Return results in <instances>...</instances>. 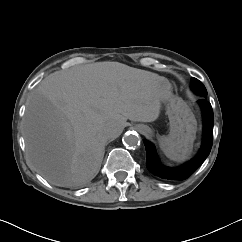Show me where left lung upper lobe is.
I'll use <instances>...</instances> for the list:
<instances>
[{"instance_id": "left-lung-upper-lobe-1", "label": "left lung upper lobe", "mask_w": 242, "mask_h": 242, "mask_svg": "<svg viewBox=\"0 0 242 242\" xmlns=\"http://www.w3.org/2000/svg\"><path fill=\"white\" fill-rule=\"evenodd\" d=\"M191 87L196 94L200 95L203 98H206L207 91L202 82H200L196 78H191Z\"/></svg>"}]
</instances>
